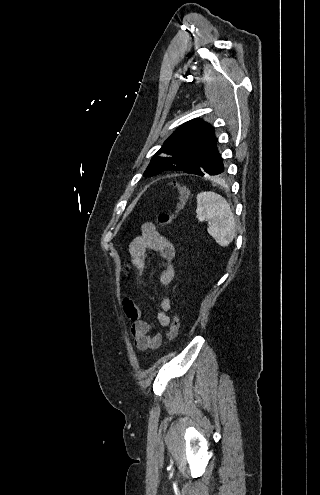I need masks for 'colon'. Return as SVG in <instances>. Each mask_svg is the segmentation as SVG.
<instances>
[{"instance_id": "obj_1", "label": "colon", "mask_w": 320, "mask_h": 495, "mask_svg": "<svg viewBox=\"0 0 320 495\" xmlns=\"http://www.w3.org/2000/svg\"><path fill=\"white\" fill-rule=\"evenodd\" d=\"M171 186L176 190L178 195L177 211L175 214L160 213L158 215V222L163 227L167 226L173 221L176 215L185 207L189 197V190L185 185L180 184L178 182H173L171 183ZM179 329H180V320L178 315L175 314L172 318L169 332L167 335L169 343L173 342L177 338L179 334Z\"/></svg>"}]
</instances>
